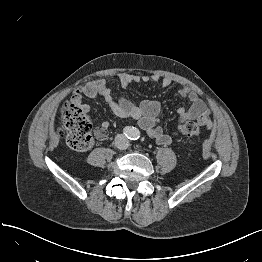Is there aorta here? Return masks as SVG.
Segmentation results:
<instances>
[{
    "mask_svg": "<svg viewBox=\"0 0 262 262\" xmlns=\"http://www.w3.org/2000/svg\"><path fill=\"white\" fill-rule=\"evenodd\" d=\"M139 135H140V132L137 128H133L130 133H129V136L132 138V139H137L139 138Z\"/></svg>",
    "mask_w": 262,
    "mask_h": 262,
    "instance_id": "762f6f07",
    "label": "aorta"
}]
</instances>
